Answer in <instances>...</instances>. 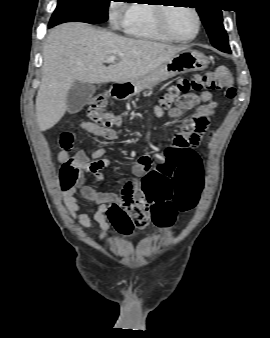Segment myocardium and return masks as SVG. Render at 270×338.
I'll return each mask as SVG.
<instances>
[{
  "instance_id": "f54148a6",
  "label": "myocardium",
  "mask_w": 270,
  "mask_h": 338,
  "mask_svg": "<svg viewBox=\"0 0 270 338\" xmlns=\"http://www.w3.org/2000/svg\"><path fill=\"white\" fill-rule=\"evenodd\" d=\"M168 5H157L155 7L156 10V26L158 28V30L169 40L174 41V42H179V43H187L190 41H193L199 34L200 32V28H201V19H200V15L197 12V10L195 8L192 7H186L188 9H190L195 17H196V30L195 33L189 37V38H178L175 35H173V33L170 31L169 27H168V22H167V12L170 8L175 7V6H169L166 7Z\"/></svg>"
}]
</instances>
